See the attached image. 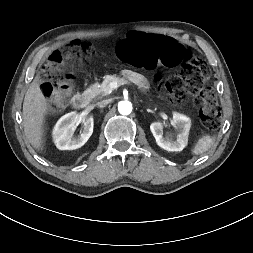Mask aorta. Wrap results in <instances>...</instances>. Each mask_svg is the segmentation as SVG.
I'll return each instance as SVG.
<instances>
[{
    "label": "aorta",
    "mask_w": 253,
    "mask_h": 253,
    "mask_svg": "<svg viewBox=\"0 0 253 253\" xmlns=\"http://www.w3.org/2000/svg\"><path fill=\"white\" fill-rule=\"evenodd\" d=\"M118 111L122 115H129L132 112V103L130 101H121L118 104Z\"/></svg>",
    "instance_id": "aorta-1"
}]
</instances>
